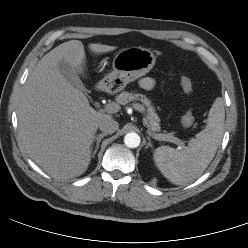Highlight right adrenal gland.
<instances>
[{"instance_id": "2a0ac1e0", "label": "right adrenal gland", "mask_w": 248, "mask_h": 248, "mask_svg": "<svg viewBox=\"0 0 248 248\" xmlns=\"http://www.w3.org/2000/svg\"><path fill=\"white\" fill-rule=\"evenodd\" d=\"M107 134H98L97 136H95L93 138V142H96V146H95V149L92 151L93 147H91V151H92V155L91 157L94 158L98 149H99V144L101 142V140L106 136Z\"/></svg>"}]
</instances>
